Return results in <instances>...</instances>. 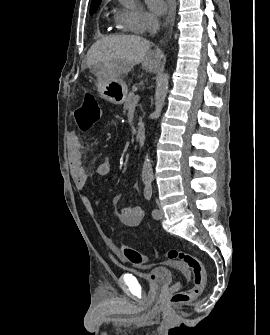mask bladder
I'll use <instances>...</instances> for the list:
<instances>
[{
  "instance_id": "bladder-1",
  "label": "bladder",
  "mask_w": 270,
  "mask_h": 335,
  "mask_svg": "<svg viewBox=\"0 0 270 335\" xmlns=\"http://www.w3.org/2000/svg\"><path fill=\"white\" fill-rule=\"evenodd\" d=\"M131 274L137 275L140 281L151 285L152 288L169 286L174 276V272L168 268H156L148 273L131 271Z\"/></svg>"
}]
</instances>
